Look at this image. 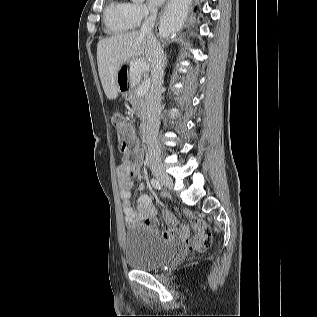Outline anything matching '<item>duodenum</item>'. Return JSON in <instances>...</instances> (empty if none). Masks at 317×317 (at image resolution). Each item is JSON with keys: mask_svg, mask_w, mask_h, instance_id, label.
<instances>
[{"mask_svg": "<svg viewBox=\"0 0 317 317\" xmlns=\"http://www.w3.org/2000/svg\"><path fill=\"white\" fill-rule=\"evenodd\" d=\"M141 136L143 138V140L148 143L149 138H150V132H149V127L148 124H143L141 127Z\"/></svg>", "mask_w": 317, "mask_h": 317, "instance_id": "duodenum-1", "label": "duodenum"}]
</instances>
